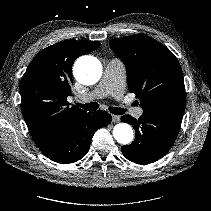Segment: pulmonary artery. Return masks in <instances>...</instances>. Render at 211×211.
Returning a JSON list of instances; mask_svg holds the SVG:
<instances>
[{"label": "pulmonary artery", "instance_id": "obj_1", "mask_svg": "<svg viewBox=\"0 0 211 211\" xmlns=\"http://www.w3.org/2000/svg\"><path fill=\"white\" fill-rule=\"evenodd\" d=\"M125 79L126 71L122 62L117 59H111L105 65L103 78L99 86L81 99H100L108 95L121 97L124 92ZM133 114L139 118L143 114V109L136 107L133 110Z\"/></svg>", "mask_w": 211, "mask_h": 211}]
</instances>
